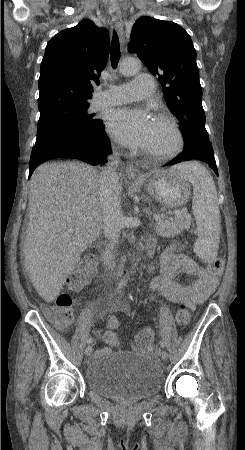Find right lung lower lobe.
I'll return each mask as SVG.
<instances>
[{"label": "right lung lower lobe", "instance_id": "right-lung-lower-lobe-1", "mask_svg": "<svg viewBox=\"0 0 245 450\" xmlns=\"http://www.w3.org/2000/svg\"><path fill=\"white\" fill-rule=\"evenodd\" d=\"M110 153V141L106 136L103 124L100 123L96 133L89 139L67 140L40 151H32L29 178L39 164L53 158H75L91 165H98L106 162V157Z\"/></svg>", "mask_w": 245, "mask_h": 450}]
</instances>
